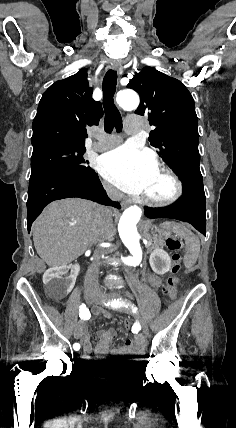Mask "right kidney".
Returning <instances> with one entry per match:
<instances>
[{
	"label": "right kidney",
	"mask_w": 236,
	"mask_h": 428,
	"mask_svg": "<svg viewBox=\"0 0 236 428\" xmlns=\"http://www.w3.org/2000/svg\"><path fill=\"white\" fill-rule=\"evenodd\" d=\"M66 268H71V272L64 269V266H57V268H49L43 276L44 291L50 292V301H63L65 294H69L75 286L80 266L74 264V266H66Z\"/></svg>",
	"instance_id": "ca27d5eb"
}]
</instances>
